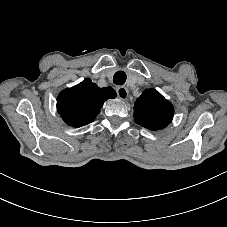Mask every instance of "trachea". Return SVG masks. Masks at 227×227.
<instances>
[{
    "mask_svg": "<svg viewBox=\"0 0 227 227\" xmlns=\"http://www.w3.org/2000/svg\"><path fill=\"white\" fill-rule=\"evenodd\" d=\"M127 75L123 71H117L113 76V82L117 85H123L126 82Z\"/></svg>",
    "mask_w": 227,
    "mask_h": 227,
    "instance_id": "trachea-1",
    "label": "trachea"
}]
</instances>
